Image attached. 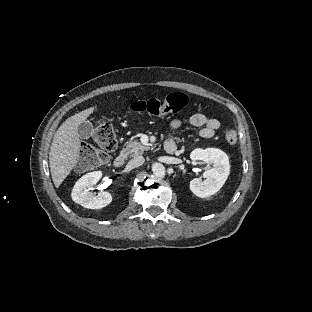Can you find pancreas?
<instances>
[{
	"instance_id": "obj_1",
	"label": "pancreas",
	"mask_w": 312,
	"mask_h": 312,
	"mask_svg": "<svg viewBox=\"0 0 312 312\" xmlns=\"http://www.w3.org/2000/svg\"><path fill=\"white\" fill-rule=\"evenodd\" d=\"M148 150V146L141 144L137 140H133L126 144L125 149L121 151L120 155L124 158H127L128 156L135 157L144 154V152Z\"/></svg>"
}]
</instances>
